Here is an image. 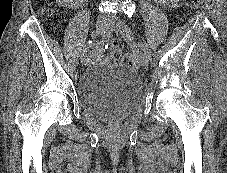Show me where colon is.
<instances>
[{
    "mask_svg": "<svg viewBox=\"0 0 227 173\" xmlns=\"http://www.w3.org/2000/svg\"><path fill=\"white\" fill-rule=\"evenodd\" d=\"M208 2H209V0H187L188 5L193 8L205 6ZM111 53H112V56L114 59L122 60L123 62H125L128 65L132 66L136 62V60L132 54L124 53L121 51L119 42L116 40L111 42Z\"/></svg>",
    "mask_w": 227,
    "mask_h": 173,
    "instance_id": "1",
    "label": "colon"
}]
</instances>
